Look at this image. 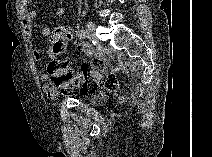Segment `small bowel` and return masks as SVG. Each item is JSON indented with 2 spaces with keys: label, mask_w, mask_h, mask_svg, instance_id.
I'll return each mask as SVG.
<instances>
[{
  "label": "small bowel",
  "mask_w": 212,
  "mask_h": 157,
  "mask_svg": "<svg viewBox=\"0 0 212 157\" xmlns=\"http://www.w3.org/2000/svg\"><path fill=\"white\" fill-rule=\"evenodd\" d=\"M21 8V15H22V27L25 34L28 37L33 35V21L37 17L36 10L31 8L30 2L27 0H23L20 2ZM65 15V9L61 6L57 7L56 9V16L58 18H62ZM41 35L43 37H48L50 35V28L45 26L41 29ZM74 47L77 52L81 54H91L92 51L90 50L89 46L83 43L82 41H76ZM48 55L50 58L54 57V52L49 49ZM33 58L34 60L38 61L41 58V51L39 49H34L33 51ZM100 63V60L94 59L90 63H83L82 67H90L91 69L96 68ZM40 80L43 83V91L47 95V97L51 100L57 98L58 91L57 88L52 85L50 82V75L48 73H43L40 76Z\"/></svg>",
  "instance_id": "small-bowel-1"
}]
</instances>
